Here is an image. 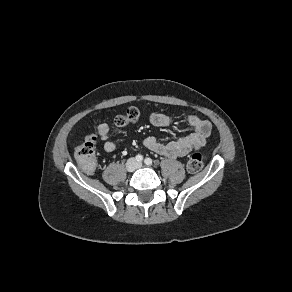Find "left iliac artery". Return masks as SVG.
Listing matches in <instances>:
<instances>
[{
  "instance_id": "left-iliac-artery-1",
  "label": "left iliac artery",
  "mask_w": 292,
  "mask_h": 292,
  "mask_svg": "<svg viewBox=\"0 0 292 292\" xmlns=\"http://www.w3.org/2000/svg\"><path fill=\"white\" fill-rule=\"evenodd\" d=\"M144 163H145L146 165H152V159H151V158H146V159L144 160Z\"/></svg>"
}]
</instances>
